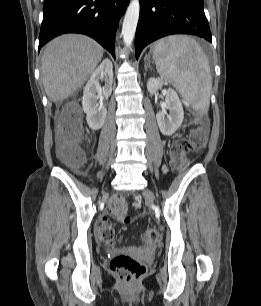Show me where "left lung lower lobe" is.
I'll return each instance as SVG.
<instances>
[{"label":"left lung lower lobe","instance_id":"left-lung-lower-lobe-1","mask_svg":"<svg viewBox=\"0 0 261 306\" xmlns=\"http://www.w3.org/2000/svg\"><path fill=\"white\" fill-rule=\"evenodd\" d=\"M171 34H192L212 42L203 0H140L136 58L146 45Z\"/></svg>","mask_w":261,"mask_h":306}]
</instances>
